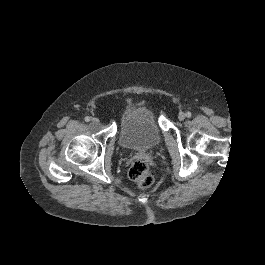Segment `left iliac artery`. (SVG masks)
Wrapping results in <instances>:
<instances>
[{"label":"left iliac artery","mask_w":265,"mask_h":265,"mask_svg":"<svg viewBox=\"0 0 265 265\" xmlns=\"http://www.w3.org/2000/svg\"><path fill=\"white\" fill-rule=\"evenodd\" d=\"M192 116V114L190 112L186 113V117L190 118Z\"/></svg>","instance_id":"44dca946"}]
</instances>
